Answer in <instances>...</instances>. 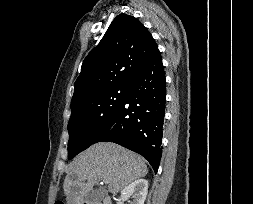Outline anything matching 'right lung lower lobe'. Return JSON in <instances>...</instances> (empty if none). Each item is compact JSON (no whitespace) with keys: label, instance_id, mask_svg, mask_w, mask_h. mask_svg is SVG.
Returning <instances> with one entry per match:
<instances>
[{"label":"right lung lower lobe","instance_id":"98d812e1","mask_svg":"<svg viewBox=\"0 0 253 204\" xmlns=\"http://www.w3.org/2000/svg\"><path fill=\"white\" fill-rule=\"evenodd\" d=\"M165 101V74L158 50L128 84L123 103L94 143L108 141L124 146L145 157L157 172L162 155Z\"/></svg>","mask_w":253,"mask_h":204}]
</instances>
